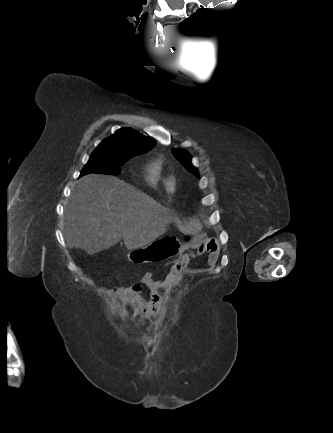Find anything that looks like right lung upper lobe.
I'll return each mask as SVG.
<instances>
[{"mask_svg":"<svg viewBox=\"0 0 333 433\" xmlns=\"http://www.w3.org/2000/svg\"><path fill=\"white\" fill-rule=\"evenodd\" d=\"M155 144L156 141L152 137H145L131 128H121L114 135L103 140L97 148L136 156L146 153Z\"/></svg>","mask_w":333,"mask_h":433,"instance_id":"obj_1","label":"right lung upper lobe"}]
</instances>
